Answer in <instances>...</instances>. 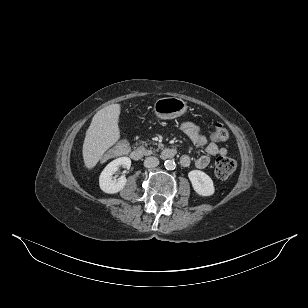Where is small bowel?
I'll list each match as a JSON object with an SVG mask.
<instances>
[{
  "label": "small bowel",
  "instance_id": "obj_1",
  "mask_svg": "<svg viewBox=\"0 0 308 308\" xmlns=\"http://www.w3.org/2000/svg\"><path fill=\"white\" fill-rule=\"evenodd\" d=\"M181 131L198 147L202 148L206 154L195 159V166L200 169L206 168L210 163V156H226L227 148L220 147L216 143L211 142L202 133L198 125L191 121L183 122L180 125ZM192 158L188 154H183L180 157L182 166H189Z\"/></svg>",
  "mask_w": 308,
  "mask_h": 308
}]
</instances>
